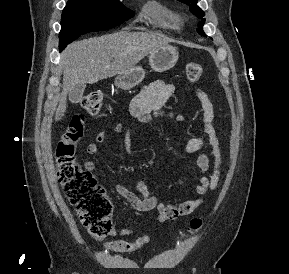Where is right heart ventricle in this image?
<instances>
[{
  "label": "right heart ventricle",
  "mask_w": 289,
  "mask_h": 274,
  "mask_svg": "<svg viewBox=\"0 0 289 274\" xmlns=\"http://www.w3.org/2000/svg\"><path fill=\"white\" fill-rule=\"evenodd\" d=\"M158 17L166 26L175 27L178 24L177 18L168 11L160 10L158 12Z\"/></svg>",
  "instance_id": "1"
}]
</instances>
